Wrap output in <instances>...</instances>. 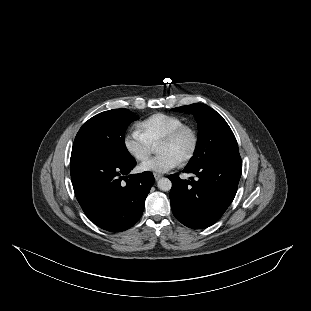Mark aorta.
<instances>
[{
    "label": "aorta",
    "instance_id": "aorta-1",
    "mask_svg": "<svg viewBox=\"0 0 311 311\" xmlns=\"http://www.w3.org/2000/svg\"><path fill=\"white\" fill-rule=\"evenodd\" d=\"M157 186L162 191H169L172 187V182L168 178H161L157 182Z\"/></svg>",
    "mask_w": 311,
    "mask_h": 311
}]
</instances>
